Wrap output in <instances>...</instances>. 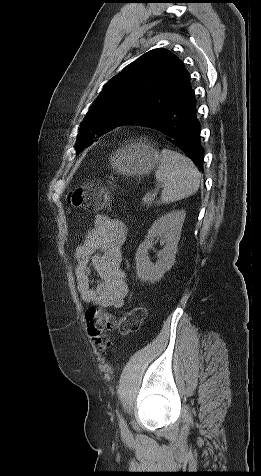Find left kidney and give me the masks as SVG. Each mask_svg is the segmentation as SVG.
<instances>
[{
	"label": "left kidney",
	"mask_w": 261,
	"mask_h": 476,
	"mask_svg": "<svg viewBox=\"0 0 261 476\" xmlns=\"http://www.w3.org/2000/svg\"><path fill=\"white\" fill-rule=\"evenodd\" d=\"M186 213L183 210L172 211L159 217L148 230L147 236L136 252L137 277L143 282H157L174 265L177 246ZM160 239L164 248L159 251L158 260L150 261L148 250Z\"/></svg>",
	"instance_id": "obj_1"
}]
</instances>
